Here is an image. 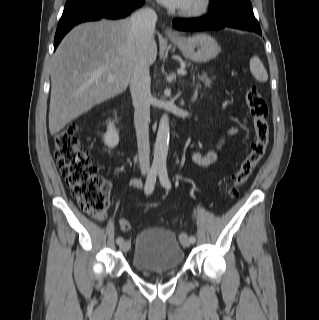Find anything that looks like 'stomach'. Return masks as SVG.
I'll return each instance as SVG.
<instances>
[{"label":"stomach","mask_w":319,"mask_h":320,"mask_svg":"<svg viewBox=\"0 0 319 320\" xmlns=\"http://www.w3.org/2000/svg\"><path fill=\"white\" fill-rule=\"evenodd\" d=\"M171 40L182 55L197 63L210 61L220 52V46L217 41L206 33H199L189 37H175Z\"/></svg>","instance_id":"stomach-1"}]
</instances>
